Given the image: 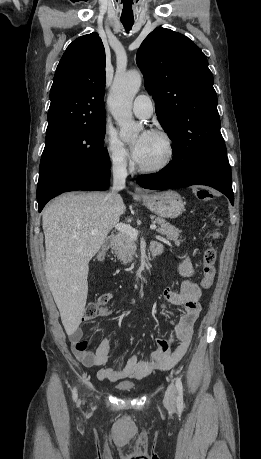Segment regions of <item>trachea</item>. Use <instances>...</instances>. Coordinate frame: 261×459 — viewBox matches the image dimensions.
Here are the masks:
<instances>
[{
	"mask_svg": "<svg viewBox=\"0 0 261 459\" xmlns=\"http://www.w3.org/2000/svg\"><path fill=\"white\" fill-rule=\"evenodd\" d=\"M124 28L126 29V31H130L133 24H134V21L133 20H121Z\"/></svg>",
	"mask_w": 261,
	"mask_h": 459,
	"instance_id": "obj_1",
	"label": "trachea"
}]
</instances>
